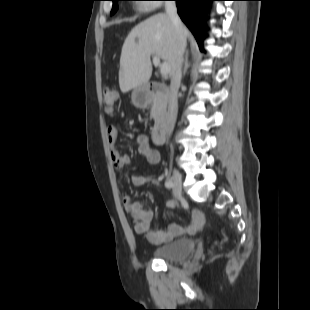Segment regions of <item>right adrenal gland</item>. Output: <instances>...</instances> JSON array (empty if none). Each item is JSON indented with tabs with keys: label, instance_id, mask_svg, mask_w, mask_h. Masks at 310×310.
I'll return each instance as SVG.
<instances>
[{
	"label": "right adrenal gland",
	"instance_id": "2a0ac1e0",
	"mask_svg": "<svg viewBox=\"0 0 310 310\" xmlns=\"http://www.w3.org/2000/svg\"><path fill=\"white\" fill-rule=\"evenodd\" d=\"M189 52H186L185 61H184V69H183V76H185L187 69L189 68L190 64L188 62Z\"/></svg>",
	"mask_w": 310,
	"mask_h": 310
}]
</instances>
